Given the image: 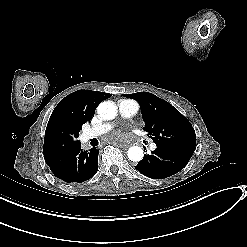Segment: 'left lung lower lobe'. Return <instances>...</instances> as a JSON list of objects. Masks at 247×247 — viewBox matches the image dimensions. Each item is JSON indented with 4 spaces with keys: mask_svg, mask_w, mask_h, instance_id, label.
I'll return each mask as SVG.
<instances>
[{
    "mask_svg": "<svg viewBox=\"0 0 247 247\" xmlns=\"http://www.w3.org/2000/svg\"><path fill=\"white\" fill-rule=\"evenodd\" d=\"M145 155L135 166L143 175L153 179H163L178 173L190 160L189 153L173 147H158Z\"/></svg>",
    "mask_w": 247,
    "mask_h": 247,
    "instance_id": "1",
    "label": "left lung lower lobe"
}]
</instances>
